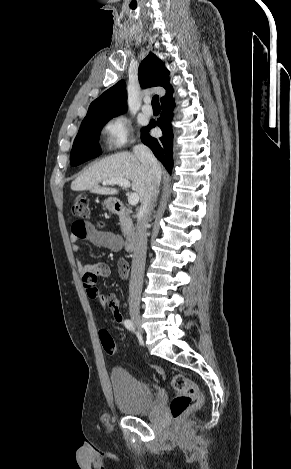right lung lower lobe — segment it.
<instances>
[{"instance_id": "right-lung-lower-lobe-1", "label": "right lung lower lobe", "mask_w": 291, "mask_h": 469, "mask_svg": "<svg viewBox=\"0 0 291 469\" xmlns=\"http://www.w3.org/2000/svg\"><path fill=\"white\" fill-rule=\"evenodd\" d=\"M162 113L157 121H151L150 124L142 129L141 140L147 145L154 155L163 163L169 173L173 167L172 147H173V132L171 130L170 122L173 118V110L175 102L172 95L166 97L161 101ZM159 126L162 130L163 136L160 138H153L148 134L149 129Z\"/></svg>"}]
</instances>
